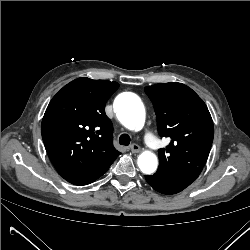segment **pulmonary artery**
I'll return each instance as SVG.
<instances>
[{"mask_svg": "<svg viewBox=\"0 0 250 250\" xmlns=\"http://www.w3.org/2000/svg\"><path fill=\"white\" fill-rule=\"evenodd\" d=\"M145 143L147 147L152 151H158L160 150L161 146L157 138L151 133L146 132L144 135Z\"/></svg>", "mask_w": 250, "mask_h": 250, "instance_id": "pulmonary-artery-1", "label": "pulmonary artery"}]
</instances>
